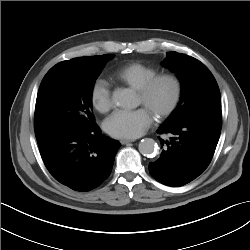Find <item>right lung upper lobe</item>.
I'll return each mask as SVG.
<instances>
[{
	"label": "right lung upper lobe",
	"instance_id": "obj_1",
	"mask_svg": "<svg viewBox=\"0 0 250 250\" xmlns=\"http://www.w3.org/2000/svg\"><path fill=\"white\" fill-rule=\"evenodd\" d=\"M96 57L97 56L78 57L68 61H62L52 67L45 76L48 77L66 69L88 66Z\"/></svg>",
	"mask_w": 250,
	"mask_h": 250
}]
</instances>
